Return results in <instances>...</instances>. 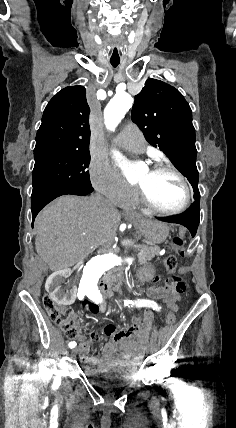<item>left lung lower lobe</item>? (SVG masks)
Returning a JSON list of instances; mask_svg holds the SVG:
<instances>
[{
  "label": "left lung lower lobe",
  "instance_id": "0a47b994",
  "mask_svg": "<svg viewBox=\"0 0 236 428\" xmlns=\"http://www.w3.org/2000/svg\"><path fill=\"white\" fill-rule=\"evenodd\" d=\"M195 201L190 206L189 209H187L184 213L176 216L171 217H157V219L165 222L170 223H177L184 225L189 229L192 236H195L198 225H199V216H200V207H199V201H200V193H194Z\"/></svg>",
  "mask_w": 236,
  "mask_h": 428
}]
</instances>
